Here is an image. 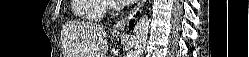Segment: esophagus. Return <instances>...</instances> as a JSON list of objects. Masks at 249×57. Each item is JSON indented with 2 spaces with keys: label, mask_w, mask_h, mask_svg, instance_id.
Wrapping results in <instances>:
<instances>
[{
  "label": "esophagus",
  "mask_w": 249,
  "mask_h": 57,
  "mask_svg": "<svg viewBox=\"0 0 249 57\" xmlns=\"http://www.w3.org/2000/svg\"><path fill=\"white\" fill-rule=\"evenodd\" d=\"M146 0H141L137 7L132 10L130 12V14L128 16H126L125 18L121 19L119 22H117L114 26L113 29L114 31H124V29L127 27L128 21L130 20V18L132 17V15L139 10L141 7H143V5L145 4Z\"/></svg>",
  "instance_id": "obj_1"
}]
</instances>
